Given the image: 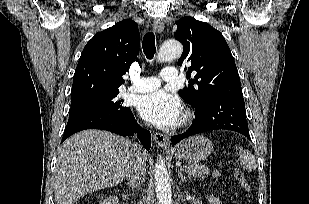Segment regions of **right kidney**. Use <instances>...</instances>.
I'll list each match as a JSON object with an SVG mask.
<instances>
[{
    "label": "right kidney",
    "instance_id": "ca27d5eb",
    "mask_svg": "<svg viewBox=\"0 0 309 204\" xmlns=\"http://www.w3.org/2000/svg\"><path fill=\"white\" fill-rule=\"evenodd\" d=\"M127 198V195H123V199ZM101 204H118V198L116 196H110L104 199Z\"/></svg>",
    "mask_w": 309,
    "mask_h": 204
}]
</instances>
